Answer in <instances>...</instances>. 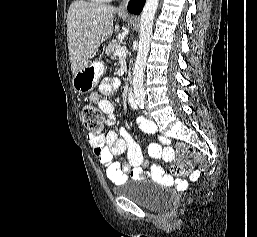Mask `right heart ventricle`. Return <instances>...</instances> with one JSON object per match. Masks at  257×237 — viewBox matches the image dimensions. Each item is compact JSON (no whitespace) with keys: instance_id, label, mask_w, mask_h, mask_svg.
<instances>
[{"instance_id":"e07e8e85","label":"right heart ventricle","mask_w":257,"mask_h":237,"mask_svg":"<svg viewBox=\"0 0 257 237\" xmlns=\"http://www.w3.org/2000/svg\"><path fill=\"white\" fill-rule=\"evenodd\" d=\"M90 2H93V3H102V2H106L108 0H89Z\"/></svg>"}]
</instances>
